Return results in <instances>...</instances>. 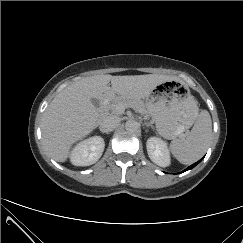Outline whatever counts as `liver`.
Instances as JSON below:
<instances>
[{"mask_svg": "<svg viewBox=\"0 0 243 243\" xmlns=\"http://www.w3.org/2000/svg\"><path fill=\"white\" fill-rule=\"evenodd\" d=\"M175 77L147 75H96L83 78L62 90L48 105L41 123L42 142L57 162H65L74 143L98 125L100 114L92 99L103 100L118 94L126 99L147 98L158 85ZM111 82V87L109 83Z\"/></svg>", "mask_w": 243, "mask_h": 243, "instance_id": "obj_1", "label": "liver"}]
</instances>
